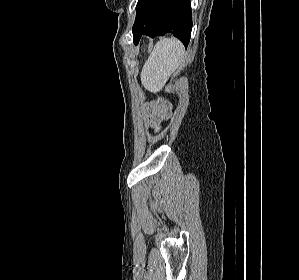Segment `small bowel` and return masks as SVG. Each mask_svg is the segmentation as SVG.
<instances>
[{
    "label": "small bowel",
    "instance_id": "obj_1",
    "mask_svg": "<svg viewBox=\"0 0 299 280\" xmlns=\"http://www.w3.org/2000/svg\"><path fill=\"white\" fill-rule=\"evenodd\" d=\"M154 127H155V128H158V125H157V124H155V125H154Z\"/></svg>",
    "mask_w": 299,
    "mask_h": 280
}]
</instances>
